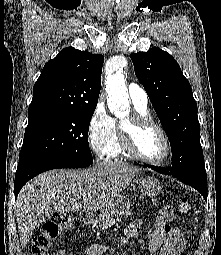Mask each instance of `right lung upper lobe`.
<instances>
[{
    "mask_svg": "<svg viewBox=\"0 0 221 255\" xmlns=\"http://www.w3.org/2000/svg\"><path fill=\"white\" fill-rule=\"evenodd\" d=\"M104 57L68 47L49 60L33 88L29 113L49 109H95Z\"/></svg>",
    "mask_w": 221,
    "mask_h": 255,
    "instance_id": "right-lung-upper-lobe-1",
    "label": "right lung upper lobe"
}]
</instances>
